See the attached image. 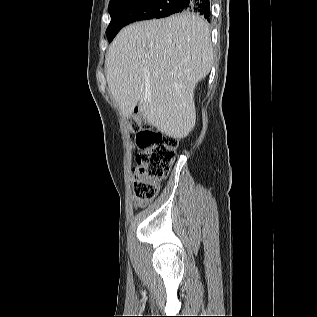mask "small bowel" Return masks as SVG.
<instances>
[{"instance_id":"1","label":"small bowel","mask_w":317,"mask_h":317,"mask_svg":"<svg viewBox=\"0 0 317 317\" xmlns=\"http://www.w3.org/2000/svg\"><path fill=\"white\" fill-rule=\"evenodd\" d=\"M133 203H134V207H136V208L140 207V206H142L144 204L143 201H139L136 198L133 199Z\"/></svg>"}]
</instances>
